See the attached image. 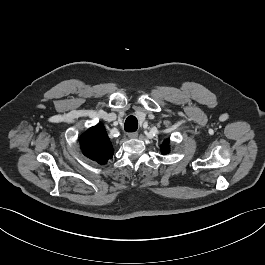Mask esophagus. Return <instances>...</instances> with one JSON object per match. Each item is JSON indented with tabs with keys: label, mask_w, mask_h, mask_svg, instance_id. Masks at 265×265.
Here are the masks:
<instances>
[{
	"label": "esophagus",
	"mask_w": 265,
	"mask_h": 265,
	"mask_svg": "<svg viewBox=\"0 0 265 265\" xmlns=\"http://www.w3.org/2000/svg\"><path fill=\"white\" fill-rule=\"evenodd\" d=\"M128 137L131 139L137 138L138 137V133L137 132H131L128 134Z\"/></svg>",
	"instance_id": "esophagus-1"
}]
</instances>
